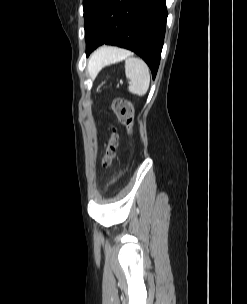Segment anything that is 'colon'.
I'll return each instance as SVG.
<instances>
[{"instance_id":"1","label":"colon","mask_w":247,"mask_h":304,"mask_svg":"<svg viewBox=\"0 0 247 304\" xmlns=\"http://www.w3.org/2000/svg\"><path fill=\"white\" fill-rule=\"evenodd\" d=\"M113 109L119 119L127 124L130 125L133 118V106L132 104L124 99H117L113 103ZM117 142L115 136H112L108 142L105 155L102 158V163L104 166L110 164L113 155L115 154Z\"/></svg>"}]
</instances>
